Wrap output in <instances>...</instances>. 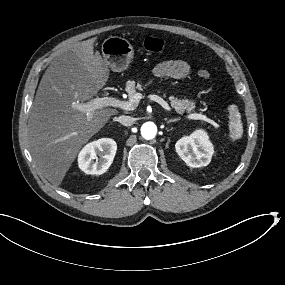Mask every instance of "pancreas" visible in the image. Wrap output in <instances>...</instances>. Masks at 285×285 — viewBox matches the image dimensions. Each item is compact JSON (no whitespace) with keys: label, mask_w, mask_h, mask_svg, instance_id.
Listing matches in <instances>:
<instances>
[{"label":"pancreas","mask_w":285,"mask_h":285,"mask_svg":"<svg viewBox=\"0 0 285 285\" xmlns=\"http://www.w3.org/2000/svg\"><path fill=\"white\" fill-rule=\"evenodd\" d=\"M124 91L128 92L129 97H134L136 93H140L143 90L142 85H140L139 82L137 81H127L126 84L123 86ZM145 89L146 90H151L152 89V84L151 83H146L145 84ZM158 94L159 95H164L165 94V89L164 88H159L158 89ZM171 106L174 108L175 111L182 113L184 111L191 112L195 104L193 102H190L186 98H177L174 96H171L169 98Z\"/></svg>","instance_id":"pancreas-1"}]
</instances>
